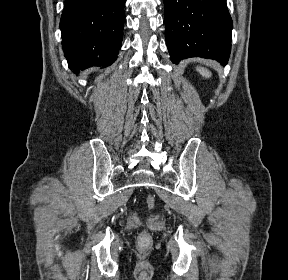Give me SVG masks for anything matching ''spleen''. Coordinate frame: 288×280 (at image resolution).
<instances>
[{
    "label": "spleen",
    "mask_w": 288,
    "mask_h": 280,
    "mask_svg": "<svg viewBox=\"0 0 288 280\" xmlns=\"http://www.w3.org/2000/svg\"><path fill=\"white\" fill-rule=\"evenodd\" d=\"M197 71L205 78H210L211 77V72L203 67H197Z\"/></svg>",
    "instance_id": "obj_1"
}]
</instances>
